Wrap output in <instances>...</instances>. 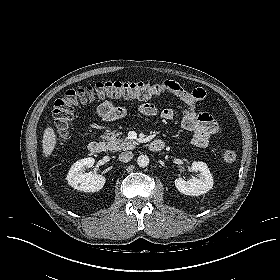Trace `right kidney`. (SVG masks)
I'll return each instance as SVG.
<instances>
[{"label": "right kidney", "instance_id": "obj_1", "mask_svg": "<svg viewBox=\"0 0 280 280\" xmlns=\"http://www.w3.org/2000/svg\"><path fill=\"white\" fill-rule=\"evenodd\" d=\"M95 160L93 158H84L76 161L70 168L67 181L74 189L83 192H97L101 190L105 184V177L85 172V168L92 167Z\"/></svg>", "mask_w": 280, "mask_h": 280}]
</instances>
